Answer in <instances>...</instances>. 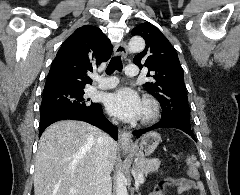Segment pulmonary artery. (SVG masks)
Instances as JSON below:
<instances>
[{
    "label": "pulmonary artery",
    "instance_id": "obj_1",
    "mask_svg": "<svg viewBox=\"0 0 240 195\" xmlns=\"http://www.w3.org/2000/svg\"><path fill=\"white\" fill-rule=\"evenodd\" d=\"M124 73L127 76H136L138 70L136 69V65H127V69L124 70ZM117 83L116 78H106L99 81L98 88L106 89L114 86Z\"/></svg>",
    "mask_w": 240,
    "mask_h": 195
}]
</instances>
